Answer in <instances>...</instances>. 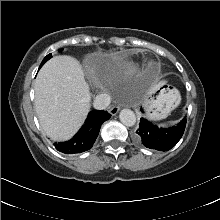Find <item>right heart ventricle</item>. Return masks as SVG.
<instances>
[{"label":"right heart ventricle","mask_w":220,"mask_h":220,"mask_svg":"<svg viewBox=\"0 0 220 220\" xmlns=\"http://www.w3.org/2000/svg\"><path fill=\"white\" fill-rule=\"evenodd\" d=\"M128 68L125 66L112 67L102 73L106 80H118L128 74Z\"/></svg>","instance_id":"obj_1"}]
</instances>
